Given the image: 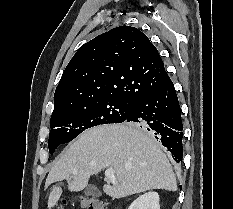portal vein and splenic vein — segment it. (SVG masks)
<instances>
[{
  "instance_id": "1",
  "label": "portal vein and splenic vein",
  "mask_w": 233,
  "mask_h": 209,
  "mask_svg": "<svg viewBox=\"0 0 233 209\" xmlns=\"http://www.w3.org/2000/svg\"><path fill=\"white\" fill-rule=\"evenodd\" d=\"M105 177L112 183V184H117V180L115 178V172L112 168H108L105 171Z\"/></svg>"
}]
</instances>
